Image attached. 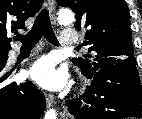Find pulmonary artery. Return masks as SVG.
Returning <instances> with one entry per match:
<instances>
[{"label":"pulmonary artery","mask_w":142,"mask_h":119,"mask_svg":"<svg viewBox=\"0 0 142 119\" xmlns=\"http://www.w3.org/2000/svg\"><path fill=\"white\" fill-rule=\"evenodd\" d=\"M78 42H79V34L75 30L70 28L63 29L60 40V43L62 45L70 46V45H75ZM15 55H16L15 53H12L9 57L10 60H14Z\"/></svg>","instance_id":"e3ab8cb5"}]
</instances>
